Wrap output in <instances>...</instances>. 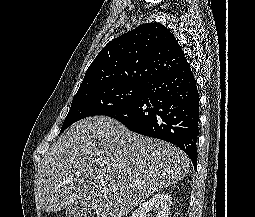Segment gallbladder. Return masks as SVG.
<instances>
[{
	"label": "gallbladder",
	"mask_w": 255,
	"mask_h": 217,
	"mask_svg": "<svg viewBox=\"0 0 255 217\" xmlns=\"http://www.w3.org/2000/svg\"><path fill=\"white\" fill-rule=\"evenodd\" d=\"M66 217H93L94 212L89 201L77 202L66 209Z\"/></svg>",
	"instance_id": "1"
}]
</instances>
